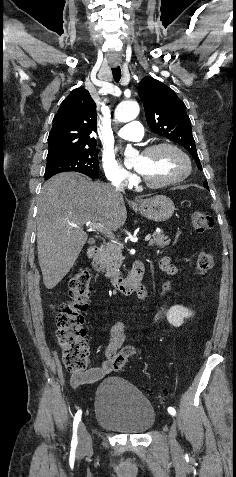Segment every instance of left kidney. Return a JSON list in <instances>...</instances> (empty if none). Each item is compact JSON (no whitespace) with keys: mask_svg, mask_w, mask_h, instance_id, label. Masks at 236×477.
<instances>
[{"mask_svg":"<svg viewBox=\"0 0 236 477\" xmlns=\"http://www.w3.org/2000/svg\"><path fill=\"white\" fill-rule=\"evenodd\" d=\"M193 312L187 308L179 305H175L168 310L167 320L175 327H179L184 323V319L190 318Z\"/></svg>","mask_w":236,"mask_h":477,"instance_id":"left-kidney-1","label":"left kidney"}]
</instances>
